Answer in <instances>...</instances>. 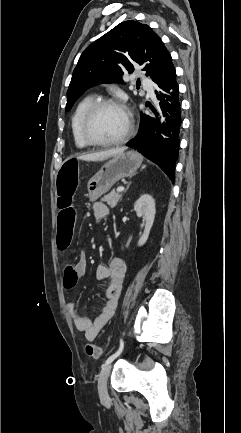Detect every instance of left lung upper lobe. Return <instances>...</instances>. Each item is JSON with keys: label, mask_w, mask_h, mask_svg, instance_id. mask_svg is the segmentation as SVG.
Wrapping results in <instances>:
<instances>
[{"label": "left lung upper lobe", "mask_w": 241, "mask_h": 433, "mask_svg": "<svg viewBox=\"0 0 241 433\" xmlns=\"http://www.w3.org/2000/svg\"><path fill=\"white\" fill-rule=\"evenodd\" d=\"M136 63L156 83L172 64V58L160 37L148 25L124 21L81 54L67 91L66 110L88 88L121 82L120 77L124 72L132 73Z\"/></svg>", "instance_id": "obj_1"}]
</instances>
